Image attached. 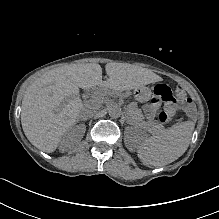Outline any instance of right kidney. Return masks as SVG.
<instances>
[{"mask_svg": "<svg viewBox=\"0 0 219 219\" xmlns=\"http://www.w3.org/2000/svg\"><path fill=\"white\" fill-rule=\"evenodd\" d=\"M75 131H77V130L72 128L70 131H68L67 134L63 133V134L60 135V138H59V141H58L59 143H58V147H57V150L59 152H61V153L66 152L69 149V144L66 143L65 136H68L69 141L73 142L72 138L73 137L77 138V136L75 135ZM82 137H83V135L80 134V136L77 138V140L80 141L82 139Z\"/></svg>", "mask_w": 219, "mask_h": 219, "instance_id": "1", "label": "right kidney"}]
</instances>
